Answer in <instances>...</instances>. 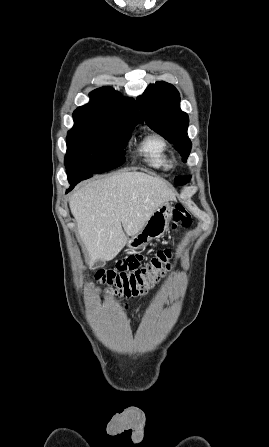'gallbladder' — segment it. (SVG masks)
Returning a JSON list of instances; mask_svg holds the SVG:
<instances>
[{"instance_id":"obj_1","label":"gallbladder","mask_w":269,"mask_h":447,"mask_svg":"<svg viewBox=\"0 0 269 447\" xmlns=\"http://www.w3.org/2000/svg\"><path fill=\"white\" fill-rule=\"evenodd\" d=\"M105 265V261H95L94 267H103Z\"/></svg>"}]
</instances>
